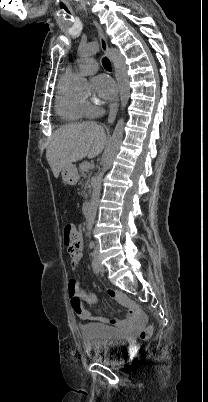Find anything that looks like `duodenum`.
<instances>
[{
    "label": "duodenum",
    "mask_w": 208,
    "mask_h": 402,
    "mask_svg": "<svg viewBox=\"0 0 208 402\" xmlns=\"http://www.w3.org/2000/svg\"><path fill=\"white\" fill-rule=\"evenodd\" d=\"M90 207H91V205H90V202H89V201H85V202L83 203V212H84L85 215H88V214H89V212H90Z\"/></svg>",
    "instance_id": "410a0bca"
}]
</instances>
